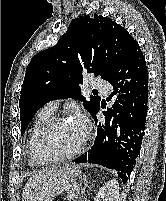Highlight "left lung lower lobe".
<instances>
[{
	"instance_id": "left-lung-lower-lobe-1",
	"label": "left lung lower lobe",
	"mask_w": 166,
	"mask_h": 201,
	"mask_svg": "<svg viewBox=\"0 0 166 201\" xmlns=\"http://www.w3.org/2000/svg\"><path fill=\"white\" fill-rule=\"evenodd\" d=\"M122 79H127L125 84ZM108 82L114 87L111 97L118 91L126 94L118 95L113 107L103 111L105 123H99L93 147L74 162L113 169L126 183L141 148L148 109L147 67L138 43ZM92 117L97 124L96 113Z\"/></svg>"
}]
</instances>
